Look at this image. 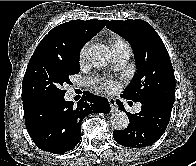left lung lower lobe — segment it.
Returning a JSON list of instances; mask_svg holds the SVG:
<instances>
[{
	"mask_svg": "<svg viewBox=\"0 0 196 166\" xmlns=\"http://www.w3.org/2000/svg\"><path fill=\"white\" fill-rule=\"evenodd\" d=\"M139 102L142 104L139 113H127L128 127L113 132L115 141L122 146L140 148L151 145L162 136L169 123L172 103L157 98H145ZM117 104L126 112L122 102L118 100Z\"/></svg>",
	"mask_w": 196,
	"mask_h": 166,
	"instance_id": "obj_1",
	"label": "left lung lower lobe"
}]
</instances>
